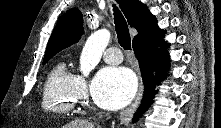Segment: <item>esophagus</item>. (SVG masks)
<instances>
[{
	"instance_id": "obj_1",
	"label": "esophagus",
	"mask_w": 221,
	"mask_h": 128,
	"mask_svg": "<svg viewBox=\"0 0 221 128\" xmlns=\"http://www.w3.org/2000/svg\"><path fill=\"white\" fill-rule=\"evenodd\" d=\"M143 90H144V86L142 82L135 101L128 108H126L125 110L121 112V115H120L121 124L127 123L132 118L135 108L137 107L138 103L140 102L142 98Z\"/></svg>"
}]
</instances>
